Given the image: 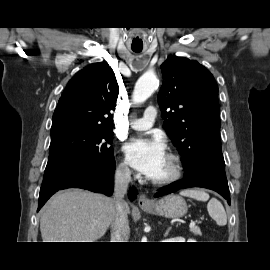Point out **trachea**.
Here are the masks:
<instances>
[{"mask_svg":"<svg viewBox=\"0 0 270 270\" xmlns=\"http://www.w3.org/2000/svg\"><path fill=\"white\" fill-rule=\"evenodd\" d=\"M134 52L136 53H140L142 51V49H132Z\"/></svg>","mask_w":270,"mask_h":270,"instance_id":"obj_1","label":"trachea"}]
</instances>
